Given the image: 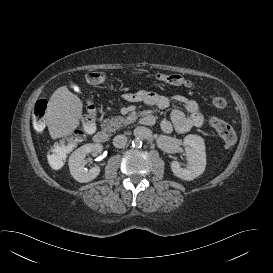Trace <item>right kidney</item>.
<instances>
[{"instance_id":"obj_1","label":"right kidney","mask_w":273,"mask_h":273,"mask_svg":"<svg viewBox=\"0 0 273 273\" xmlns=\"http://www.w3.org/2000/svg\"><path fill=\"white\" fill-rule=\"evenodd\" d=\"M103 147L100 144H85L75 150L69 157L68 165L72 177L80 182L86 183L95 179L100 174V167L95 166L89 170L85 168L87 164L86 155L92 152L100 153Z\"/></svg>"}]
</instances>
